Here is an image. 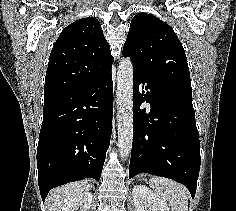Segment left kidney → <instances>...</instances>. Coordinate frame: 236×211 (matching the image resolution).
Returning a JSON list of instances; mask_svg holds the SVG:
<instances>
[{
  "label": "left kidney",
  "instance_id": "obj_1",
  "mask_svg": "<svg viewBox=\"0 0 236 211\" xmlns=\"http://www.w3.org/2000/svg\"><path fill=\"white\" fill-rule=\"evenodd\" d=\"M132 197L136 211H146L148 206L152 211H170L165 201L144 185H135Z\"/></svg>",
  "mask_w": 236,
  "mask_h": 211
}]
</instances>
